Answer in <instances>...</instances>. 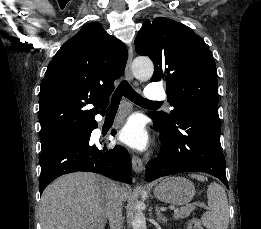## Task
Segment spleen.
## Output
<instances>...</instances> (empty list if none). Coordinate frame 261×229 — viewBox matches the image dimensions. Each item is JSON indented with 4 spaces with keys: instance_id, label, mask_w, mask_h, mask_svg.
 <instances>
[{
    "instance_id": "1",
    "label": "spleen",
    "mask_w": 261,
    "mask_h": 229,
    "mask_svg": "<svg viewBox=\"0 0 261 229\" xmlns=\"http://www.w3.org/2000/svg\"><path fill=\"white\" fill-rule=\"evenodd\" d=\"M197 181H207L206 177L201 175H190ZM207 199L210 211L204 213L202 225L206 229H228L229 225V207L227 195L218 183H211L207 189Z\"/></svg>"
}]
</instances>
